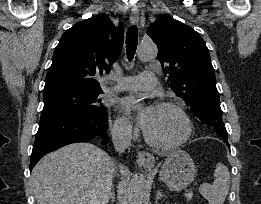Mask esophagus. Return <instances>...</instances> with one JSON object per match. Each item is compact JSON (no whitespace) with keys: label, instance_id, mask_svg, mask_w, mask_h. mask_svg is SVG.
I'll return each instance as SVG.
<instances>
[{"label":"esophagus","instance_id":"1","mask_svg":"<svg viewBox=\"0 0 261 204\" xmlns=\"http://www.w3.org/2000/svg\"><path fill=\"white\" fill-rule=\"evenodd\" d=\"M139 21V12L136 7H134L130 13V22L131 24L135 25ZM137 163L140 167H143L145 169H150L155 164V157L146 152V151H140L137 156Z\"/></svg>","mask_w":261,"mask_h":204}]
</instances>
